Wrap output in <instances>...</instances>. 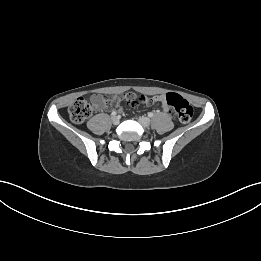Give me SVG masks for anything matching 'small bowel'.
<instances>
[{
	"mask_svg": "<svg viewBox=\"0 0 261 261\" xmlns=\"http://www.w3.org/2000/svg\"><path fill=\"white\" fill-rule=\"evenodd\" d=\"M125 100L126 102L130 103L133 107H138L140 105H148L150 107H155L159 103L164 112H168L170 110L169 106L165 101V96L161 94L147 97V95L144 93L135 94L133 92H128L125 95ZM91 103L94 109L97 111H103L108 106V102L106 101V99L99 94L92 96ZM110 103L117 105L118 98H114L113 100H111Z\"/></svg>",
	"mask_w": 261,
	"mask_h": 261,
	"instance_id": "1",
	"label": "small bowel"
}]
</instances>
